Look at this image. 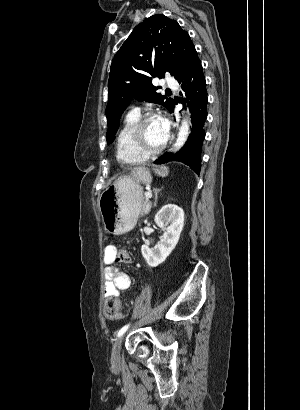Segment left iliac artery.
<instances>
[{"mask_svg":"<svg viewBox=\"0 0 300 410\" xmlns=\"http://www.w3.org/2000/svg\"><path fill=\"white\" fill-rule=\"evenodd\" d=\"M129 326H130V324H127V325L123 326V327L118 331L117 336H118V337L122 336V335L127 331V329L129 328Z\"/></svg>","mask_w":300,"mask_h":410,"instance_id":"44dca946","label":"left iliac artery"}]
</instances>
